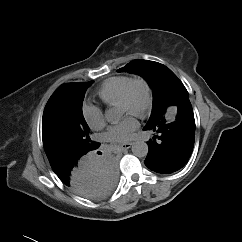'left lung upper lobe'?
<instances>
[{"mask_svg": "<svg viewBox=\"0 0 242 242\" xmlns=\"http://www.w3.org/2000/svg\"><path fill=\"white\" fill-rule=\"evenodd\" d=\"M139 74L149 83L153 92V108L148 123L166 112L169 106L189 99L188 92L178 77L165 65L137 59L117 70Z\"/></svg>", "mask_w": 242, "mask_h": 242, "instance_id": "obj_1", "label": "left lung upper lobe"}]
</instances>
